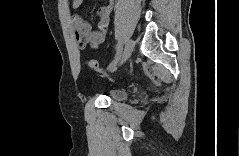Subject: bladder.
<instances>
[{"label":"bladder","mask_w":239,"mask_h":156,"mask_svg":"<svg viewBox=\"0 0 239 156\" xmlns=\"http://www.w3.org/2000/svg\"><path fill=\"white\" fill-rule=\"evenodd\" d=\"M109 97L115 102H122L128 98V93L122 89H113L110 91Z\"/></svg>","instance_id":"31cf9c89"}]
</instances>
